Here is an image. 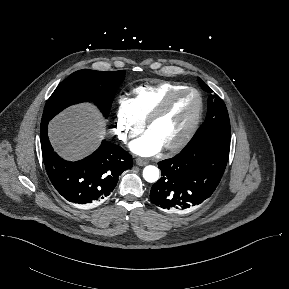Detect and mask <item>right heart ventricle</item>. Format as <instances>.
<instances>
[{"label":"right heart ventricle","mask_w":289,"mask_h":289,"mask_svg":"<svg viewBox=\"0 0 289 289\" xmlns=\"http://www.w3.org/2000/svg\"><path fill=\"white\" fill-rule=\"evenodd\" d=\"M184 86V84L178 82H163L135 88L134 96L131 99L135 115L144 123L149 114L170 92Z\"/></svg>","instance_id":"obj_1"}]
</instances>
